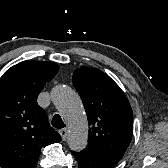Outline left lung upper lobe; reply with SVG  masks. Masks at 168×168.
Returning <instances> with one entry per match:
<instances>
[{
	"label": "left lung upper lobe",
	"instance_id": "5c2ea615",
	"mask_svg": "<svg viewBox=\"0 0 168 168\" xmlns=\"http://www.w3.org/2000/svg\"><path fill=\"white\" fill-rule=\"evenodd\" d=\"M90 125L86 149L118 163L133 134V113L120 87L102 71L81 67L73 74Z\"/></svg>",
	"mask_w": 168,
	"mask_h": 168
}]
</instances>
